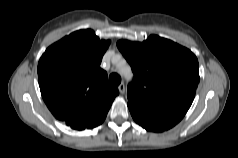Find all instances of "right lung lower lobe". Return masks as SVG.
I'll list each match as a JSON object with an SVG mask.
<instances>
[{
    "mask_svg": "<svg viewBox=\"0 0 238 158\" xmlns=\"http://www.w3.org/2000/svg\"><path fill=\"white\" fill-rule=\"evenodd\" d=\"M106 115L107 113L102 114L100 116H91L88 118L77 119L73 121H65V123L71 128L76 130H83L85 128L90 129L96 127L97 125H100L106 118Z\"/></svg>",
    "mask_w": 238,
    "mask_h": 158,
    "instance_id": "98d812e1",
    "label": "right lung lower lobe"
}]
</instances>
